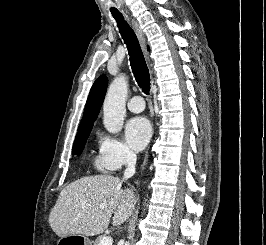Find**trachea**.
I'll list each match as a JSON object with an SVG mask.
<instances>
[{"mask_svg": "<svg viewBox=\"0 0 266 245\" xmlns=\"http://www.w3.org/2000/svg\"><path fill=\"white\" fill-rule=\"evenodd\" d=\"M112 15L116 18L122 38L127 45L134 77L142 91L148 95L150 91V74L138 39L132 28L124 22L121 13L116 11L112 12Z\"/></svg>", "mask_w": 266, "mask_h": 245, "instance_id": "obj_1", "label": "trachea"}]
</instances>
